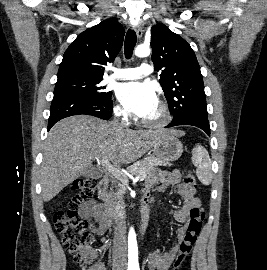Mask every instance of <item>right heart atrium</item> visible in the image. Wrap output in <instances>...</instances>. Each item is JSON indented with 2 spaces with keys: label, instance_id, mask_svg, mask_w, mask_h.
Returning a JSON list of instances; mask_svg holds the SVG:
<instances>
[{
  "label": "right heart atrium",
  "instance_id": "right-heart-atrium-1",
  "mask_svg": "<svg viewBox=\"0 0 267 270\" xmlns=\"http://www.w3.org/2000/svg\"><path fill=\"white\" fill-rule=\"evenodd\" d=\"M115 114L122 120L126 121L129 119V113L120 106L115 107Z\"/></svg>",
  "mask_w": 267,
  "mask_h": 270
}]
</instances>
